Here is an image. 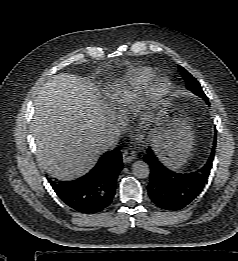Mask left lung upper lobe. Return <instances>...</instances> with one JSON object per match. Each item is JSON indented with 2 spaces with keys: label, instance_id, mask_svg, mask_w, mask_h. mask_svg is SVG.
I'll list each match as a JSON object with an SVG mask.
<instances>
[{
  "label": "left lung upper lobe",
  "instance_id": "5c2ea615",
  "mask_svg": "<svg viewBox=\"0 0 238 261\" xmlns=\"http://www.w3.org/2000/svg\"><path fill=\"white\" fill-rule=\"evenodd\" d=\"M179 71L181 72V75L186 81V87L187 89L191 90L195 94L203 97L205 100L207 99L205 93L203 92L199 82L189 73L187 72L183 67L179 66Z\"/></svg>",
  "mask_w": 238,
  "mask_h": 261
}]
</instances>
